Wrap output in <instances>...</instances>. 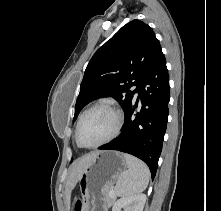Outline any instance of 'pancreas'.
Instances as JSON below:
<instances>
[{"label": "pancreas", "mask_w": 221, "mask_h": 211, "mask_svg": "<svg viewBox=\"0 0 221 211\" xmlns=\"http://www.w3.org/2000/svg\"><path fill=\"white\" fill-rule=\"evenodd\" d=\"M111 190H112V187L107 190L106 195H105V199H104V202H105L106 205H108V206L112 205V204L114 203V201H115V196H114V197H111V196L109 195V192H110Z\"/></svg>", "instance_id": "cf45deb5"}]
</instances>
